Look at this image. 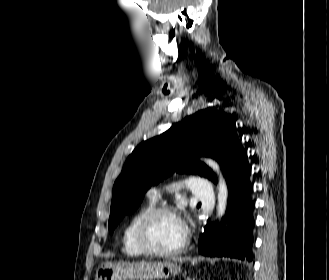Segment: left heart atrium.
Here are the masks:
<instances>
[{
    "label": "left heart atrium",
    "instance_id": "1",
    "mask_svg": "<svg viewBox=\"0 0 329 280\" xmlns=\"http://www.w3.org/2000/svg\"><path fill=\"white\" fill-rule=\"evenodd\" d=\"M179 222H180V226H181L184 234H187L188 233V222H187V220L179 218Z\"/></svg>",
    "mask_w": 329,
    "mask_h": 280
}]
</instances>
